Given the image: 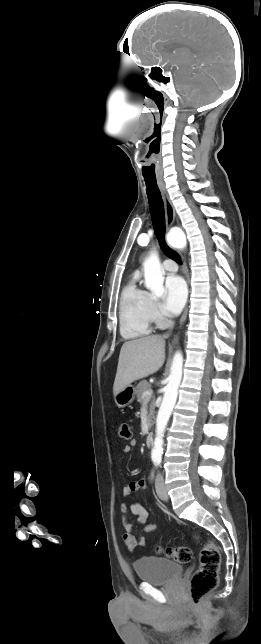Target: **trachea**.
Returning a JSON list of instances; mask_svg holds the SVG:
<instances>
[{
    "label": "trachea",
    "mask_w": 261,
    "mask_h": 644,
    "mask_svg": "<svg viewBox=\"0 0 261 644\" xmlns=\"http://www.w3.org/2000/svg\"><path fill=\"white\" fill-rule=\"evenodd\" d=\"M147 187V196L148 203L150 207L152 222L155 230V234L161 246L163 252L168 255L170 258L175 260L177 263L182 264V261L179 255L172 250L165 241V217H164V205L161 197L159 187L156 180L145 179Z\"/></svg>",
    "instance_id": "3493384b"
}]
</instances>
